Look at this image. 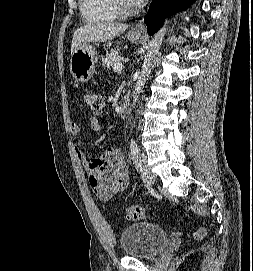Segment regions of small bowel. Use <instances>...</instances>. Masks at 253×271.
I'll use <instances>...</instances> for the list:
<instances>
[{
	"label": "small bowel",
	"instance_id": "obj_1",
	"mask_svg": "<svg viewBox=\"0 0 253 271\" xmlns=\"http://www.w3.org/2000/svg\"><path fill=\"white\" fill-rule=\"evenodd\" d=\"M101 128V123L97 118L90 120L89 132L91 134L99 133ZM69 133L71 138L76 140L79 134L78 126L70 124ZM75 153L84 165L89 184L100 200L107 201L127 189L129 185L128 168L119 149L106 147L99 156L93 159H88L86 154L77 146Z\"/></svg>",
	"mask_w": 253,
	"mask_h": 271
}]
</instances>
